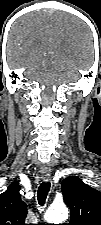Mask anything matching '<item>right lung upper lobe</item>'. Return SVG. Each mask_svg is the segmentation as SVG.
Here are the masks:
<instances>
[{
  "mask_svg": "<svg viewBox=\"0 0 101 225\" xmlns=\"http://www.w3.org/2000/svg\"><path fill=\"white\" fill-rule=\"evenodd\" d=\"M20 185L11 183L0 195V225H26L27 205L21 200Z\"/></svg>",
  "mask_w": 101,
  "mask_h": 225,
  "instance_id": "obj_1",
  "label": "right lung upper lobe"
}]
</instances>
